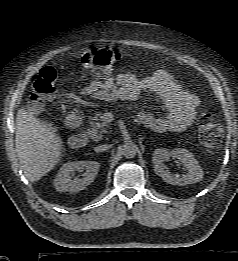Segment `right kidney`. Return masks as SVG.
<instances>
[{"mask_svg": "<svg viewBox=\"0 0 238 261\" xmlns=\"http://www.w3.org/2000/svg\"><path fill=\"white\" fill-rule=\"evenodd\" d=\"M100 164L95 161H75L65 163L59 170L54 186L61 192H79L92 183L98 174ZM83 172L82 178L72 179L75 172Z\"/></svg>", "mask_w": 238, "mask_h": 261, "instance_id": "ca27d5eb", "label": "right kidney"}]
</instances>
